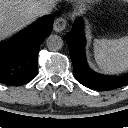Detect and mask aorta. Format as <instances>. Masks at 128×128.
I'll use <instances>...</instances> for the list:
<instances>
[{
	"mask_svg": "<svg viewBox=\"0 0 128 128\" xmlns=\"http://www.w3.org/2000/svg\"><path fill=\"white\" fill-rule=\"evenodd\" d=\"M63 44L62 38L55 34L49 35L46 39V45L50 51H59Z\"/></svg>",
	"mask_w": 128,
	"mask_h": 128,
	"instance_id": "1",
	"label": "aorta"
}]
</instances>
